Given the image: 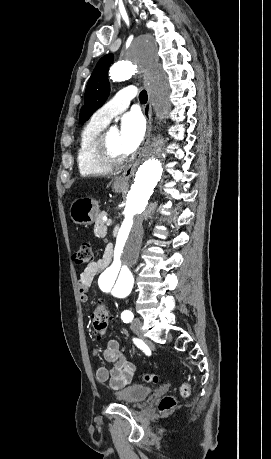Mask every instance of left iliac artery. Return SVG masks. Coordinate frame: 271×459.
<instances>
[{"mask_svg":"<svg viewBox=\"0 0 271 459\" xmlns=\"http://www.w3.org/2000/svg\"><path fill=\"white\" fill-rule=\"evenodd\" d=\"M134 318V315L131 311L129 310H125L122 312L121 314V319L125 322V323H129L133 320Z\"/></svg>","mask_w":271,"mask_h":459,"instance_id":"obj_1","label":"left iliac artery"}]
</instances>
